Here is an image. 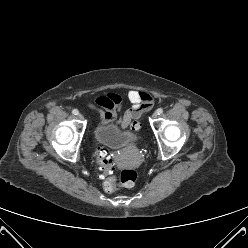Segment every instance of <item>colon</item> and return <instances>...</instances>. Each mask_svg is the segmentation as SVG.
<instances>
[{
    "label": "colon",
    "mask_w": 248,
    "mask_h": 248,
    "mask_svg": "<svg viewBox=\"0 0 248 248\" xmlns=\"http://www.w3.org/2000/svg\"><path fill=\"white\" fill-rule=\"evenodd\" d=\"M134 129H139V124L134 125ZM97 160L104 175H111L114 171V162L112 158L102 148L97 149ZM138 179V172L135 169H125L120 176V185L126 188L135 185ZM118 185L113 177L108 178L103 188L106 192L112 193L117 189Z\"/></svg>",
    "instance_id": "1"
}]
</instances>
